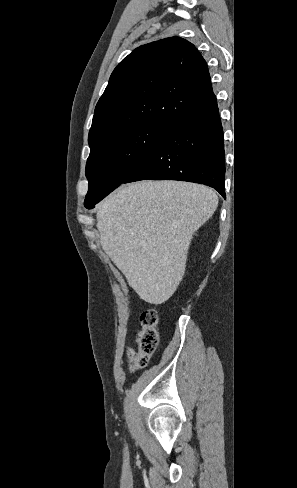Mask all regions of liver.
<instances>
[{"label": "liver", "mask_w": 297, "mask_h": 488, "mask_svg": "<svg viewBox=\"0 0 297 488\" xmlns=\"http://www.w3.org/2000/svg\"><path fill=\"white\" fill-rule=\"evenodd\" d=\"M217 206L216 192L195 183L120 187L98 206L101 245L141 299L164 303L185 274L194 233Z\"/></svg>", "instance_id": "obj_1"}]
</instances>
